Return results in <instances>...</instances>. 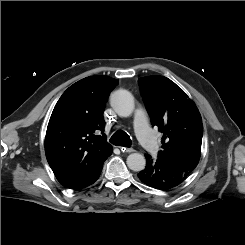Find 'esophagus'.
I'll return each mask as SVG.
<instances>
[{
  "instance_id": "obj_1",
  "label": "esophagus",
  "mask_w": 245,
  "mask_h": 245,
  "mask_svg": "<svg viewBox=\"0 0 245 245\" xmlns=\"http://www.w3.org/2000/svg\"><path fill=\"white\" fill-rule=\"evenodd\" d=\"M120 150H121L122 152H126V153H131V152L134 151L133 148L123 147V146L120 147Z\"/></svg>"
}]
</instances>
